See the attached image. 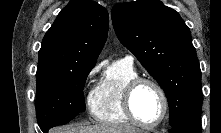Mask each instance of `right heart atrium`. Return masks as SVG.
<instances>
[{
  "mask_svg": "<svg viewBox=\"0 0 221 133\" xmlns=\"http://www.w3.org/2000/svg\"><path fill=\"white\" fill-rule=\"evenodd\" d=\"M98 71H99V66H98V65L94 66V67L89 71V73H88V75H87V78H88V79L93 78L94 75H95Z\"/></svg>",
  "mask_w": 221,
  "mask_h": 133,
  "instance_id": "d8ad5b80",
  "label": "right heart atrium"
}]
</instances>
